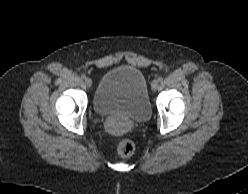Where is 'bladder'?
I'll use <instances>...</instances> for the list:
<instances>
[{"mask_svg": "<svg viewBox=\"0 0 248 194\" xmlns=\"http://www.w3.org/2000/svg\"><path fill=\"white\" fill-rule=\"evenodd\" d=\"M93 107L101 116L121 115L133 122L146 121L151 104L144 74L130 65L109 70L96 88Z\"/></svg>", "mask_w": 248, "mask_h": 194, "instance_id": "1", "label": "bladder"}]
</instances>
